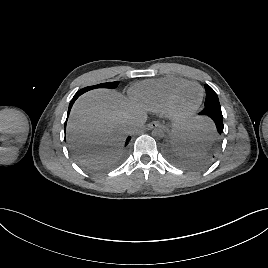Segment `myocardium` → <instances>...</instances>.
Listing matches in <instances>:
<instances>
[{
  "instance_id": "myocardium-1",
  "label": "myocardium",
  "mask_w": 268,
  "mask_h": 268,
  "mask_svg": "<svg viewBox=\"0 0 268 268\" xmlns=\"http://www.w3.org/2000/svg\"><path fill=\"white\" fill-rule=\"evenodd\" d=\"M189 86H196L199 88L200 90V97L199 100L197 102V104L190 110L185 111V112H181L178 111L175 107V101L177 96L187 87ZM203 97H204V90L202 88L201 85H199L196 82H187L185 84H182L180 86H178L176 89H174L171 94L169 95L166 104H165V112L167 113V115L175 120H184L187 119L189 117H191L201 106L202 101H203Z\"/></svg>"
}]
</instances>
